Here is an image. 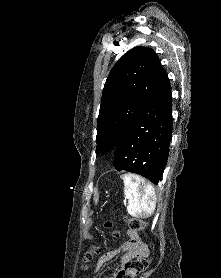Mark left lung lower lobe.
<instances>
[{"mask_svg":"<svg viewBox=\"0 0 221 278\" xmlns=\"http://www.w3.org/2000/svg\"><path fill=\"white\" fill-rule=\"evenodd\" d=\"M172 136V96L166 72L154 94L116 147L118 171L140 174L154 184L162 180Z\"/></svg>","mask_w":221,"mask_h":278,"instance_id":"obj_1","label":"left lung lower lobe"}]
</instances>
